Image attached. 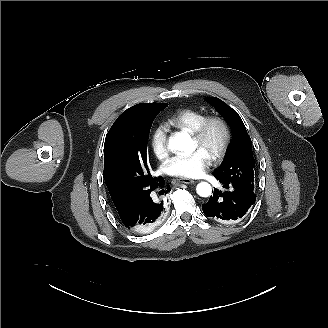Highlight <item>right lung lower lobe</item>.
Listing matches in <instances>:
<instances>
[{
  "instance_id": "right-lung-lower-lobe-1",
  "label": "right lung lower lobe",
  "mask_w": 328,
  "mask_h": 328,
  "mask_svg": "<svg viewBox=\"0 0 328 328\" xmlns=\"http://www.w3.org/2000/svg\"><path fill=\"white\" fill-rule=\"evenodd\" d=\"M159 196L170 192V186H165L163 178H159L154 188ZM166 212V201L163 197H153L151 192L136 203L129 217L122 220L123 225L131 231L145 234L155 228Z\"/></svg>"
}]
</instances>
